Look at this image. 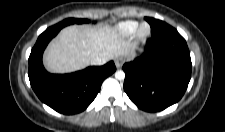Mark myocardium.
I'll return each mask as SVG.
<instances>
[{"label": "myocardium", "instance_id": "obj_1", "mask_svg": "<svg viewBox=\"0 0 225 132\" xmlns=\"http://www.w3.org/2000/svg\"><path fill=\"white\" fill-rule=\"evenodd\" d=\"M150 32V26L147 23H142L137 27L134 37L137 40H144L150 35Z\"/></svg>", "mask_w": 225, "mask_h": 132}]
</instances>
